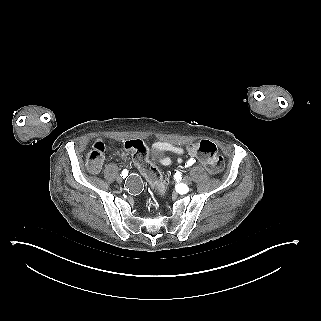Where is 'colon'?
<instances>
[{"label": "colon", "instance_id": "1", "mask_svg": "<svg viewBox=\"0 0 321 321\" xmlns=\"http://www.w3.org/2000/svg\"><path fill=\"white\" fill-rule=\"evenodd\" d=\"M106 147L103 141L97 140L94 143L86 159V166L91 172L96 173L99 171ZM124 150L132 154L135 163L147 181L158 191H164L166 182L157 168L147 160V149L144 143L141 140L127 141L124 144ZM188 152L198 159L207 171L212 174L219 173L224 167L223 157L218 152L216 145L209 140L191 143L188 146Z\"/></svg>", "mask_w": 321, "mask_h": 321}]
</instances>
